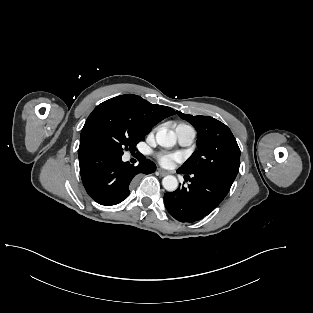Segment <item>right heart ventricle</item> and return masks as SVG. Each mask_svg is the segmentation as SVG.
Listing matches in <instances>:
<instances>
[{"label": "right heart ventricle", "mask_w": 313, "mask_h": 313, "mask_svg": "<svg viewBox=\"0 0 313 313\" xmlns=\"http://www.w3.org/2000/svg\"><path fill=\"white\" fill-rule=\"evenodd\" d=\"M178 127H189V128H192L190 125H187V124H179V125L176 127V129H177ZM192 129H193V128H192Z\"/></svg>", "instance_id": "right-heart-ventricle-1"}]
</instances>
